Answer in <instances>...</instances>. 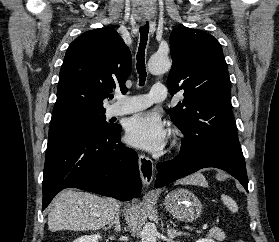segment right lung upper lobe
<instances>
[{"instance_id": "1", "label": "right lung upper lobe", "mask_w": 279, "mask_h": 242, "mask_svg": "<svg viewBox=\"0 0 279 242\" xmlns=\"http://www.w3.org/2000/svg\"><path fill=\"white\" fill-rule=\"evenodd\" d=\"M131 52L110 27L87 31L67 49L60 70L53 114L76 110L106 111L103 100L116 87L125 91Z\"/></svg>"}]
</instances>
